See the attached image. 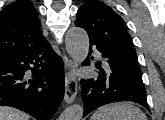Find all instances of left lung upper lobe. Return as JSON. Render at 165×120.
Masks as SVG:
<instances>
[{
	"instance_id": "5c2ea615",
	"label": "left lung upper lobe",
	"mask_w": 165,
	"mask_h": 120,
	"mask_svg": "<svg viewBox=\"0 0 165 120\" xmlns=\"http://www.w3.org/2000/svg\"><path fill=\"white\" fill-rule=\"evenodd\" d=\"M75 25L84 28L89 39L112 51L125 66L141 74L124 21L111 7L88 0L79 8Z\"/></svg>"
}]
</instances>
